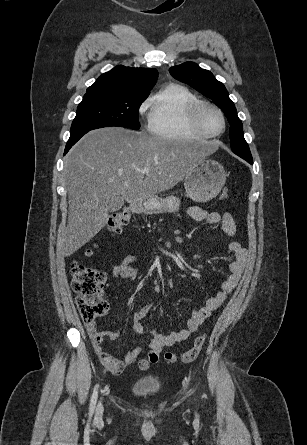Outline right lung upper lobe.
Instances as JSON below:
<instances>
[{
  "instance_id": "1",
  "label": "right lung upper lobe",
  "mask_w": 307,
  "mask_h": 445,
  "mask_svg": "<svg viewBox=\"0 0 307 445\" xmlns=\"http://www.w3.org/2000/svg\"><path fill=\"white\" fill-rule=\"evenodd\" d=\"M158 78L156 69L117 66L102 74L84 96L114 95L146 97Z\"/></svg>"
}]
</instances>
